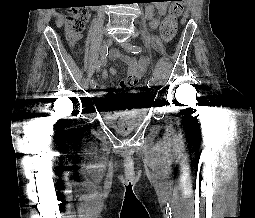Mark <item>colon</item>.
Segmentation results:
<instances>
[{
  "mask_svg": "<svg viewBox=\"0 0 255 218\" xmlns=\"http://www.w3.org/2000/svg\"><path fill=\"white\" fill-rule=\"evenodd\" d=\"M170 7L168 15L163 19L160 27V37L164 42H170L176 35L178 28V18L181 16L185 0H169ZM89 21V14L84 7H71L66 13L65 31L68 38L75 42L77 41ZM143 91V86L135 87V94L139 95Z\"/></svg>",
  "mask_w": 255,
  "mask_h": 218,
  "instance_id": "1",
  "label": "colon"
}]
</instances>
